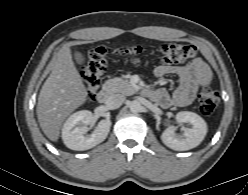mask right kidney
I'll return each instance as SVG.
<instances>
[{"instance_id":"1","label":"right kidney","mask_w":248,"mask_h":195,"mask_svg":"<svg viewBox=\"0 0 248 195\" xmlns=\"http://www.w3.org/2000/svg\"><path fill=\"white\" fill-rule=\"evenodd\" d=\"M93 121V114L88 110L73 113L64 123L62 139L64 144L72 150L84 151L95 147L103 142L111 127V121L101 120L92 134L86 135L87 125Z\"/></svg>"}]
</instances>
